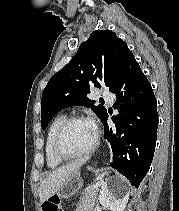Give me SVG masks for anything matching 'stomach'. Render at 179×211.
I'll use <instances>...</instances> for the list:
<instances>
[{
    "label": "stomach",
    "mask_w": 179,
    "mask_h": 211,
    "mask_svg": "<svg viewBox=\"0 0 179 211\" xmlns=\"http://www.w3.org/2000/svg\"><path fill=\"white\" fill-rule=\"evenodd\" d=\"M82 187L83 180L80 176V172L76 171L69 176L59 191L51 197L55 196L59 200L68 199L77 194Z\"/></svg>",
    "instance_id": "stomach-1"
}]
</instances>
